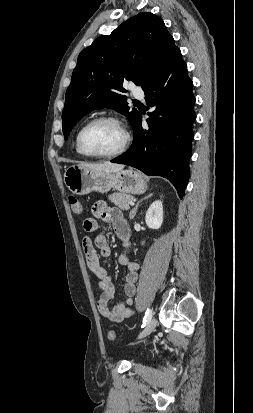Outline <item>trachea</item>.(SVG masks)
<instances>
[{
	"label": "trachea",
	"mask_w": 253,
	"mask_h": 413,
	"mask_svg": "<svg viewBox=\"0 0 253 413\" xmlns=\"http://www.w3.org/2000/svg\"><path fill=\"white\" fill-rule=\"evenodd\" d=\"M133 102H134V103H139V101H138V100H134Z\"/></svg>",
	"instance_id": "1"
}]
</instances>
